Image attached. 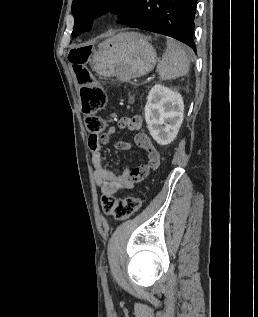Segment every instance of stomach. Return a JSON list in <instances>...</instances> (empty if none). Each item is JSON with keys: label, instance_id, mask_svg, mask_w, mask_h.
I'll return each instance as SVG.
<instances>
[{"label": "stomach", "instance_id": "0dacf381", "mask_svg": "<svg viewBox=\"0 0 258 317\" xmlns=\"http://www.w3.org/2000/svg\"><path fill=\"white\" fill-rule=\"evenodd\" d=\"M157 52L140 32H118L98 44L90 62L102 76L137 78L153 70Z\"/></svg>", "mask_w": 258, "mask_h": 317}]
</instances>
